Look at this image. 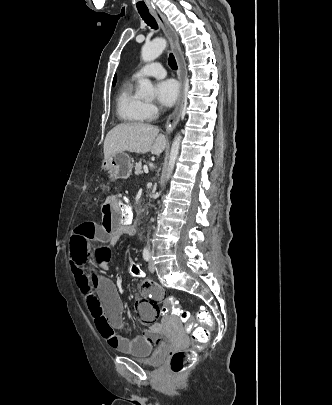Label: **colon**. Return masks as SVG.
<instances>
[{"label":"colon","instance_id":"colon-1","mask_svg":"<svg viewBox=\"0 0 332 405\" xmlns=\"http://www.w3.org/2000/svg\"><path fill=\"white\" fill-rule=\"evenodd\" d=\"M119 197V202L117 208L120 210L121 221L126 222L133 216V208L129 202V199L126 195L119 193L115 194ZM98 268H113L114 262L113 259H110V254L107 252L106 248L98 249ZM128 260V259H127ZM141 267L137 262H132L129 267L130 273H135L136 278H143L144 272L141 271ZM160 288V287H158ZM160 311V317L162 319H169L171 314L177 315L187 330H191L197 326V321L191 319L190 313L182 309L179 305V302L176 297L167 295L163 297L162 306H158ZM197 318L202 323V327L196 328L193 331L192 339L197 344H204L209 336L210 331L213 329V322L208 312L205 309H200L197 312ZM195 352L190 349L177 350L171 353L170 359V369L174 374H179L186 369L190 368L195 362Z\"/></svg>","mask_w":332,"mask_h":405}]
</instances>
